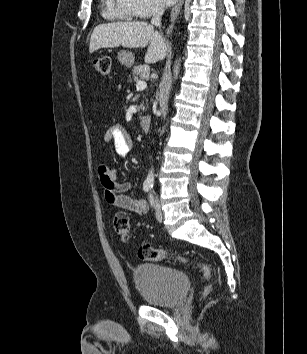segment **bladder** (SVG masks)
Listing matches in <instances>:
<instances>
[{"label":"bladder","instance_id":"obj_1","mask_svg":"<svg viewBox=\"0 0 307 354\" xmlns=\"http://www.w3.org/2000/svg\"><path fill=\"white\" fill-rule=\"evenodd\" d=\"M133 281L146 303L161 307L181 303L189 288V278L183 271L157 263L137 265Z\"/></svg>","mask_w":307,"mask_h":354}]
</instances>
